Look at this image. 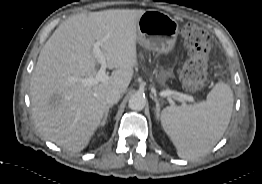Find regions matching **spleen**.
<instances>
[{"label":"spleen","instance_id":"spleen-1","mask_svg":"<svg viewBox=\"0 0 262 184\" xmlns=\"http://www.w3.org/2000/svg\"><path fill=\"white\" fill-rule=\"evenodd\" d=\"M233 92L223 81L215 84L206 101L190 106H168L161 125L182 159L208 153L225 133L233 110Z\"/></svg>","mask_w":262,"mask_h":184}]
</instances>
